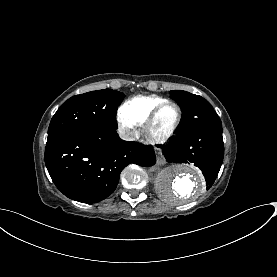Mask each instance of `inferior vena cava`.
Listing matches in <instances>:
<instances>
[{
  "mask_svg": "<svg viewBox=\"0 0 277 277\" xmlns=\"http://www.w3.org/2000/svg\"><path fill=\"white\" fill-rule=\"evenodd\" d=\"M118 134L122 140H134L135 139L134 132L129 129L119 128Z\"/></svg>",
  "mask_w": 277,
  "mask_h": 277,
  "instance_id": "602c4592",
  "label": "inferior vena cava"
}]
</instances>
